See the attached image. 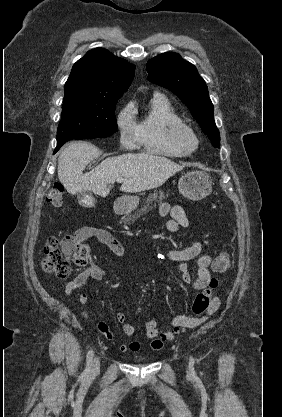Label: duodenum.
Instances as JSON below:
<instances>
[{
    "label": "duodenum",
    "mask_w": 282,
    "mask_h": 417,
    "mask_svg": "<svg viewBox=\"0 0 282 417\" xmlns=\"http://www.w3.org/2000/svg\"><path fill=\"white\" fill-rule=\"evenodd\" d=\"M116 213H122L124 211L123 204L121 202H117L114 206Z\"/></svg>",
    "instance_id": "obj_1"
}]
</instances>
